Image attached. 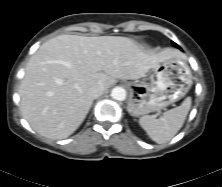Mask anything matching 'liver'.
<instances>
[{
    "mask_svg": "<svg viewBox=\"0 0 222 187\" xmlns=\"http://www.w3.org/2000/svg\"><path fill=\"white\" fill-rule=\"evenodd\" d=\"M178 50L144 49L131 38L59 35L43 43L30 58L19 96L24 119L40 135L64 139L88 114L93 98L88 90L116 79H139Z\"/></svg>",
    "mask_w": 222,
    "mask_h": 187,
    "instance_id": "1",
    "label": "liver"
}]
</instances>
